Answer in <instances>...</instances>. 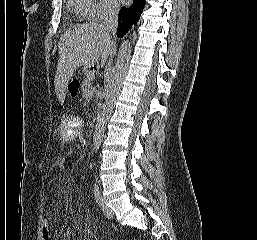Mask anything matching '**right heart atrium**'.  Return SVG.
Instances as JSON below:
<instances>
[{
	"label": "right heart atrium",
	"mask_w": 257,
	"mask_h": 240,
	"mask_svg": "<svg viewBox=\"0 0 257 240\" xmlns=\"http://www.w3.org/2000/svg\"><path fill=\"white\" fill-rule=\"evenodd\" d=\"M93 5L89 18L100 21L114 16L118 12L116 0H92Z\"/></svg>",
	"instance_id": "d8ad5b80"
}]
</instances>
